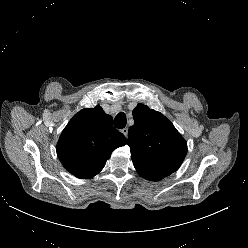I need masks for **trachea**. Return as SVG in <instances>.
<instances>
[{
	"instance_id": "obj_1",
	"label": "trachea",
	"mask_w": 248,
	"mask_h": 248,
	"mask_svg": "<svg viewBox=\"0 0 248 248\" xmlns=\"http://www.w3.org/2000/svg\"><path fill=\"white\" fill-rule=\"evenodd\" d=\"M126 123V115L123 112L118 113L114 119V126L118 129H122L126 126Z\"/></svg>"
}]
</instances>
